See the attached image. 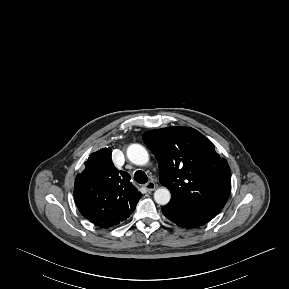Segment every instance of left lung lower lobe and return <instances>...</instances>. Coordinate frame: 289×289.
Wrapping results in <instances>:
<instances>
[{
  "mask_svg": "<svg viewBox=\"0 0 289 289\" xmlns=\"http://www.w3.org/2000/svg\"><path fill=\"white\" fill-rule=\"evenodd\" d=\"M162 212L169 220L185 228L199 227L218 214L198 204L176 200H170L162 207Z\"/></svg>",
  "mask_w": 289,
  "mask_h": 289,
  "instance_id": "left-lung-lower-lobe-1",
  "label": "left lung lower lobe"
}]
</instances>
